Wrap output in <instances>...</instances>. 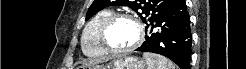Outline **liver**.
Instances as JSON below:
<instances>
[{
	"label": "liver",
	"instance_id": "obj_1",
	"mask_svg": "<svg viewBox=\"0 0 246 69\" xmlns=\"http://www.w3.org/2000/svg\"><path fill=\"white\" fill-rule=\"evenodd\" d=\"M99 62H102V59H97V60L91 61L90 64H92V63H99Z\"/></svg>",
	"mask_w": 246,
	"mask_h": 69
}]
</instances>
